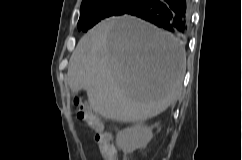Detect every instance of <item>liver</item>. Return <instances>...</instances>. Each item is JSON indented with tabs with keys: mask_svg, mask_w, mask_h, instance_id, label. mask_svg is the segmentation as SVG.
<instances>
[{
	"mask_svg": "<svg viewBox=\"0 0 242 160\" xmlns=\"http://www.w3.org/2000/svg\"><path fill=\"white\" fill-rule=\"evenodd\" d=\"M185 70V50L177 39L124 15L100 22L80 39L67 80L73 93L87 92L95 113L143 122L177 99Z\"/></svg>",
	"mask_w": 242,
	"mask_h": 160,
	"instance_id": "obj_1",
	"label": "liver"
}]
</instances>
